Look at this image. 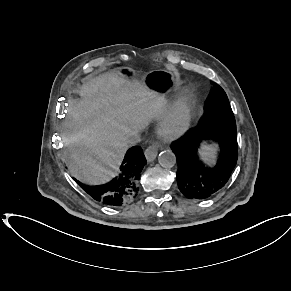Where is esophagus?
Returning a JSON list of instances; mask_svg holds the SVG:
<instances>
[{
    "mask_svg": "<svg viewBox=\"0 0 291 291\" xmlns=\"http://www.w3.org/2000/svg\"><path fill=\"white\" fill-rule=\"evenodd\" d=\"M158 143L154 142L151 146H149L146 150H145V157L147 159L148 162H152L158 153Z\"/></svg>",
    "mask_w": 291,
    "mask_h": 291,
    "instance_id": "34e87169",
    "label": "esophagus"
}]
</instances>
